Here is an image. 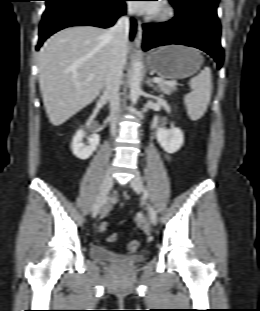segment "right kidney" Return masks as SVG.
<instances>
[{
	"mask_svg": "<svg viewBox=\"0 0 260 311\" xmlns=\"http://www.w3.org/2000/svg\"><path fill=\"white\" fill-rule=\"evenodd\" d=\"M89 124L88 122L87 125ZM84 137H86V132L83 129H79L73 137L71 144L73 154L81 160H86L93 154L100 140L99 135L94 133L88 137V145L86 146L82 142Z\"/></svg>",
	"mask_w": 260,
	"mask_h": 311,
	"instance_id": "1",
	"label": "right kidney"
}]
</instances>
